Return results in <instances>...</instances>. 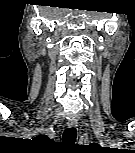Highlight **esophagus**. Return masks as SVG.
Listing matches in <instances>:
<instances>
[{
	"label": "esophagus",
	"mask_w": 135,
	"mask_h": 153,
	"mask_svg": "<svg viewBox=\"0 0 135 153\" xmlns=\"http://www.w3.org/2000/svg\"><path fill=\"white\" fill-rule=\"evenodd\" d=\"M69 127H76L77 126V120L76 119H70L67 122Z\"/></svg>",
	"instance_id": "obj_1"
}]
</instances>
